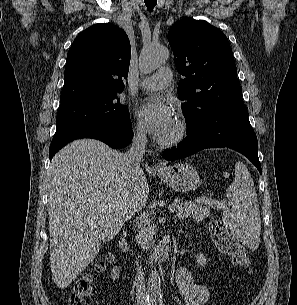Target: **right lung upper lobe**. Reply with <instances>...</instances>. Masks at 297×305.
Instances as JSON below:
<instances>
[{"instance_id":"cb5924a9","label":"right lung upper lobe","mask_w":297,"mask_h":305,"mask_svg":"<svg viewBox=\"0 0 297 305\" xmlns=\"http://www.w3.org/2000/svg\"><path fill=\"white\" fill-rule=\"evenodd\" d=\"M130 57V42L124 30L110 23L87 28L69 49L60 100L123 90Z\"/></svg>"}]
</instances>
